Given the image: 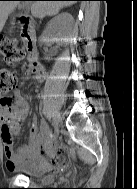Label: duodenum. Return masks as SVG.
<instances>
[{"mask_svg":"<svg viewBox=\"0 0 137 189\" xmlns=\"http://www.w3.org/2000/svg\"><path fill=\"white\" fill-rule=\"evenodd\" d=\"M17 26L21 30V38L28 53L31 66H37V46L35 34V22L25 16H20L16 20Z\"/></svg>","mask_w":137,"mask_h":189,"instance_id":"duodenum-1","label":"duodenum"}]
</instances>
